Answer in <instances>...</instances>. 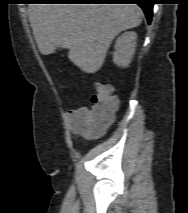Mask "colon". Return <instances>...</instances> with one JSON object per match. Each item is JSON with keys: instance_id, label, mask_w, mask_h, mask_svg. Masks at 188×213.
Here are the masks:
<instances>
[{"instance_id": "obj_1", "label": "colon", "mask_w": 188, "mask_h": 213, "mask_svg": "<svg viewBox=\"0 0 188 213\" xmlns=\"http://www.w3.org/2000/svg\"><path fill=\"white\" fill-rule=\"evenodd\" d=\"M91 103L90 118L95 127L111 121L118 108V99L113 94V88L109 84L97 83L95 85Z\"/></svg>"}]
</instances>
